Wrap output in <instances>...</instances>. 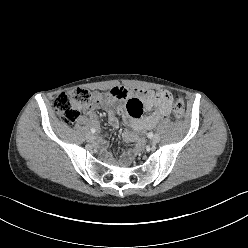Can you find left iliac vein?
<instances>
[{
    "instance_id": "obj_1",
    "label": "left iliac vein",
    "mask_w": 248,
    "mask_h": 248,
    "mask_svg": "<svg viewBox=\"0 0 248 248\" xmlns=\"http://www.w3.org/2000/svg\"><path fill=\"white\" fill-rule=\"evenodd\" d=\"M160 141V136L158 134L154 135L151 139L152 144H157Z\"/></svg>"
}]
</instances>
